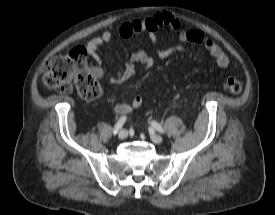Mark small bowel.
Segmentation results:
<instances>
[{
    "label": "small bowel",
    "mask_w": 275,
    "mask_h": 215,
    "mask_svg": "<svg viewBox=\"0 0 275 215\" xmlns=\"http://www.w3.org/2000/svg\"><path fill=\"white\" fill-rule=\"evenodd\" d=\"M161 28H167L178 34L179 38L190 44H198L202 46L206 52L214 59L215 63L226 68L230 64L229 57L223 49L216 44L210 37L203 32L190 28L183 27L180 21L170 13H158L147 19H133L123 22L118 28V34L122 38H130L133 35L147 34L152 43L158 46V32ZM113 41V34L110 31H104L101 35L93 38L87 44V50L90 56L100 63L101 58L99 49ZM157 53L160 57L166 56L167 52L158 47ZM154 63V58L145 51L134 52L130 56V60L126 63L124 69L117 73L111 81L113 83H121L130 79L136 72V65L141 64L149 67ZM92 75L97 78H102L105 72L101 66H94L91 69ZM142 98L135 97L129 103H119L115 106V112L118 115H126L133 109L139 108L142 105Z\"/></svg>",
    "instance_id": "obj_1"
}]
</instances>
